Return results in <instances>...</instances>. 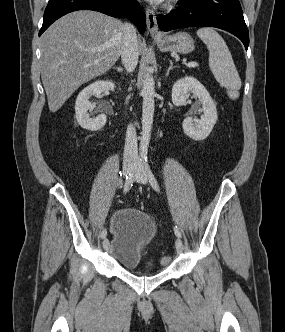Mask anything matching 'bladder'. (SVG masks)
Wrapping results in <instances>:
<instances>
[{
	"label": "bladder",
	"mask_w": 285,
	"mask_h": 332,
	"mask_svg": "<svg viewBox=\"0 0 285 332\" xmlns=\"http://www.w3.org/2000/svg\"><path fill=\"white\" fill-rule=\"evenodd\" d=\"M112 237L109 249L115 260L127 269H136L144 258L146 246L157 237L155 222L136 208L117 212L111 224ZM153 263H148L146 272H151Z\"/></svg>",
	"instance_id": "obj_1"
}]
</instances>
